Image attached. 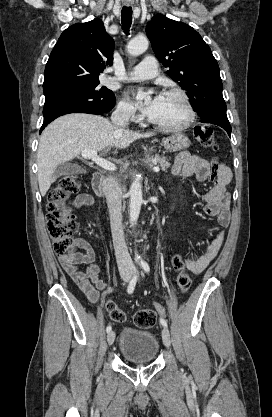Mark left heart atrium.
Listing matches in <instances>:
<instances>
[{"label": "left heart atrium", "instance_id": "left-heart-atrium-1", "mask_svg": "<svg viewBox=\"0 0 272 417\" xmlns=\"http://www.w3.org/2000/svg\"><path fill=\"white\" fill-rule=\"evenodd\" d=\"M163 101V96L156 95L150 101L144 102L143 98L139 95L137 96V103L140 109L144 114L153 118L159 111Z\"/></svg>", "mask_w": 272, "mask_h": 417}]
</instances>
